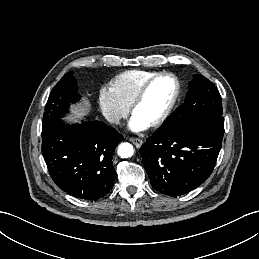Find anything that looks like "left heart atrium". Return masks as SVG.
Listing matches in <instances>:
<instances>
[{"label": "left heart atrium", "mask_w": 259, "mask_h": 259, "mask_svg": "<svg viewBox=\"0 0 259 259\" xmlns=\"http://www.w3.org/2000/svg\"><path fill=\"white\" fill-rule=\"evenodd\" d=\"M148 127H149V124L145 123L135 115H133L129 123V128L134 132L144 131Z\"/></svg>", "instance_id": "39dd6f15"}]
</instances>
